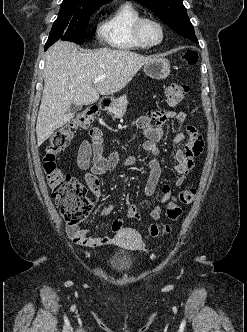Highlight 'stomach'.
Masks as SVG:
<instances>
[{"label": "stomach", "instance_id": "1", "mask_svg": "<svg viewBox=\"0 0 247 332\" xmlns=\"http://www.w3.org/2000/svg\"><path fill=\"white\" fill-rule=\"evenodd\" d=\"M147 76L154 79H165L170 74V64L165 58L155 57L144 66Z\"/></svg>", "mask_w": 247, "mask_h": 332}]
</instances>
